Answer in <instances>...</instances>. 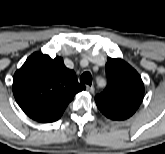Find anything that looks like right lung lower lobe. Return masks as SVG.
Instances as JSON below:
<instances>
[{
  "mask_svg": "<svg viewBox=\"0 0 165 154\" xmlns=\"http://www.w3.org/2000/svg\"><path fill=\"white\" fill-rule=\"evenodd\" d=\"M63 112L64 110L57 112L56 114H53L51 116H48L46 118L39 120V122H42V123L54 122L62 116Z\"/></svg>",
  "mask_w": 165,
  "mask_h": 154,
  "instance_id": "1",
  "label": "right lung lower lobe"
}]
</instances>
